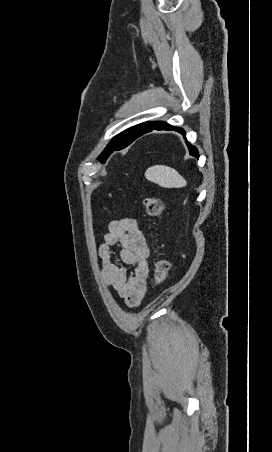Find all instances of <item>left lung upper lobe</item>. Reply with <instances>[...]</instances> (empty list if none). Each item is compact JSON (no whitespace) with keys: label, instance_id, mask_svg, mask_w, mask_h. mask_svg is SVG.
Instances as JSON below:
<instances>
[{"label":"left lung upper lobe","instance_id":"1","mask_svg":"<svg viewBox=\"0 0 272 452\" xmlns=\"http://www.w3.org/2000/svg\"><path fill=\"white\" fill-rule=\"evenodd\" d=\"M152 122H146V123H141L139 125H136L134 127H131L123 132H121L120 134H118L117 136H115L110 143L107 145V147L104 149V151L100 154V156L98 157V159L104 163L106 161V159L109 156V152H110V146L112 145V143L114 141H116V139L118 138H125L124 140H130L134 135L138 134L140 131L144 130L145 128L149 127L151 125Z\"/></svg>","mask_w":272,"mask_h":452}]
</instances>
